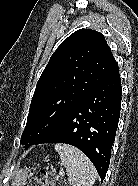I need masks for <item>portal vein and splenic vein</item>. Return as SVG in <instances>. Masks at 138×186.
<instances>
[{"instance_id": "1", "label": "portal vein and splenic vein", "mask_w": 138, "mask_h": 186, "mask_svg": "<svg viewBox=\"0 0 138 186\" xmlns=\"http://www.w3.org/2000/svg\"><path fill=\"white\" fill-rule=\"evenodd\" d=\"M59 174L63 176L65 172L63 170H60Z\"/></svg>"}]
</instances>
